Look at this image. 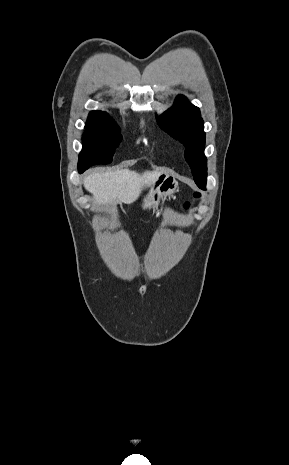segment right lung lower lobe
I'll list each match as a JSON object with an SVG mask.
<instances>
[{
  "mask_svg": "<svg viewBox=\"0 0 289 465\" xmlns=\"http://www.w3.org/2000/svg\"><path fill=\"white\" fill-rule=\"evenodd\" d=\"M78 171H79V173H83V172H84V170H82V169H80V168H78Z\"/></svg>",
  "mask_w": 289,
  "mask_h": 465,
  "instance_id": "1",
  "label": "right lung lower lobe"
}]
</instances>
